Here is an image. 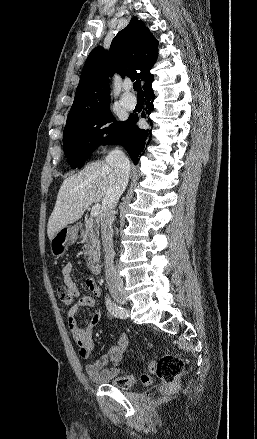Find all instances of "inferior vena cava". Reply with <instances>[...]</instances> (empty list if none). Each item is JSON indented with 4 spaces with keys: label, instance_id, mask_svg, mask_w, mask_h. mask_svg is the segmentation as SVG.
<instances>
[{
    "label": "inferior vena cava",
    "instance_id": "1",
    "mask_svg": "<svg viewBox=\"0 0 257 439\" xmlns=\"http://www.w3.org/2000/svg\"><path fill=\"white\" fill-rule=\"evenodd\" d=\"M105 160L112 168L110 186L103 199L104 211L101 218V237L105 251V278L109 288L122 289L123 280L117 273L113 261L112 223L114 221L113 210L129 181L130 162L119 149L111 151Z\"/></svg>",
    "mask_w": 257,
    "mask_h": 439
}]
</instances>
